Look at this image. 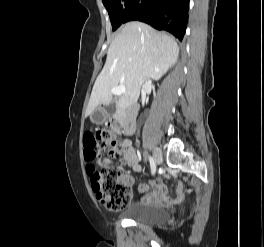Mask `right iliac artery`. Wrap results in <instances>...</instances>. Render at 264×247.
I'll list each match as a JSON object with an SVG mask.
<instances>
[{"label": "right iliac artery", "mask_w": 264, "mask_h": 247, "mask_svg": "<svg viewBox=\"0 0 264 247\" xmlns=\"http://www.w3.org/2000/svg\"><path fill=\"white\" fill-rule=\"evenodd\" d=\"M149 162H150V167H151V174L155 175L156 173V165L155 162L153 160V158L151 156H149Z\"/></svg>", "instance_id": "82829eb1"}]
</instances>
